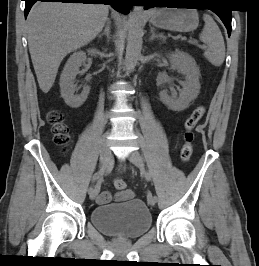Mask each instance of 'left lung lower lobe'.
<instances>
[{
	"instance_id": "1",
	"label": "left lung lower lobe",
	"mask_w": 259,
	"mask_h": 266,
	"mask_svg": "<svg viewBox=\"0 0 259 266\" xmlns=\"http://www.w3.org/2000/svg\"><path fill=\"white\" fill-rule=\"evenodd\" d=\"M190 1L192 0H142V6H144L145 9L149 7H173V6H179V5H187V4H193ZM210 10V9H208ZM214 11L222 20L225 27L227 28L228 35L231 34V11L229 9H217L213 8L211 9Z\"/></svg>"
}]
</instances>
